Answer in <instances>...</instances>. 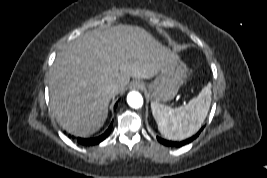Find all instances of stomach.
<instances>
[{
	"instance_id": "obj_1",
	"label": "stomach",
	"mask_w": 267,
	"mask_h": 178,
	"mask_svg": "<svg viewBox=\"0 0 267 178\" xmlns=\"http://www.w3.org/2000/svg\"><path fill=\"white\" fill-rule=\"evenodd\" d=\"M187 71L186 64L178 56L171 59L153 81L145 84L150 100L157 103L172 100L183 84Z\"/></svg>"
}]
</instances>
